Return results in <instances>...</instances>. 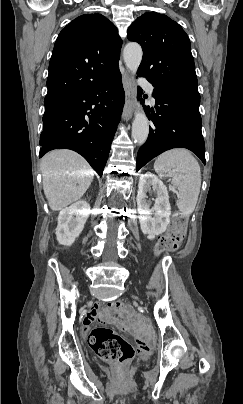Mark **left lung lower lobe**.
I'll return each mask as SVG.
<instances>
[{"label":"left lung lower lobe","mask_w":243,"mask_h":404,"mask_svg":"<svg viewBox=\"0 0 243 404\" xmlns=\"http://www.w3.org/2000/svg\"><path fill=\"white\" fill-rule=\"evenodd\" d=\"M153 86L156 114L154 111L150 114L149 109H146L152 126L146 143L138 151L136 171L157 155L172 148H187L205 164L199 92ZM139 91L142 92L141 88Z\"/></svg>","instance_id":"obj_1"}]
</instances>
